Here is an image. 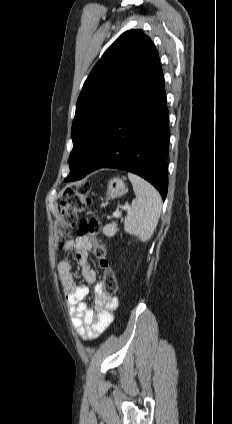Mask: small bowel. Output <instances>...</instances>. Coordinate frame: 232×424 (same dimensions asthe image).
I'll use <instances>...</instances> for the list:
<instances>
[{
    "label": "small bowel",
    "mask_w": 232,
    "mask_h": 424,
    "mask_svg": "<svg viewBox=\"0 0 232 424\" xmlns=\"http://www.w3.org/2000/svg\"><path fill=\"white\" fill-rule=\"evenodd\" d=\"M91 247L88 236L70 240L65 245L66 255L57 264V273L65 295L66 306L72 317V326L83 340L97 338L113 321V312L117 300L106 296L102 282H97L93 297V307L85 302L89 288L77 282L69 259V252L73 251V258L82 269V277L87 283L96 282V273L88 264L87 251Z\"/></svg>",
    "instance_id": "obj_1"
}]
</instances>
